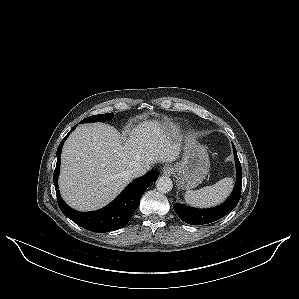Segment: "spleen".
<instances>
[{
  "mask_svg": "<svg viewBox=\"0 0 299 299\" xmlns=\"http://www.w3.org/2000/svg\"><path fill=\"white\" fill-rule=\"evenodd\" d=\"M232 188L233 179L228 177L199 190H187L184 193V199L186 203L194 207H212L223 202L229 196Z\"/></svg>",
  "mask_w": 299,
  "mask_h": 299,
  "instance_id": "obj_1",
  "label": "spleen"
}]
</instances>
